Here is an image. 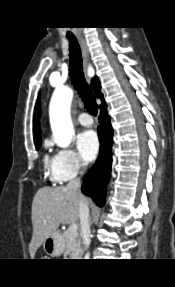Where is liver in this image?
I'll return each instance as SVG.
<instances>
[{
    "label": "liver",
    "instance_id": "liver-1",
    "mask_svg": "<svg viewBox=\"0 0 175 287\" xmlns=\"http://www.w3.org/2000/svg\"><path fill=\"white\" fill-rule=\"evenodd\" d=\"M79 197L88 203L83 195L67 186L43 187L36 192L32 202L33 235L29 245L32 259L44 240L56 232L61 223L72 224L79 220Z\"/></svg>",
    "mask_w": 175,
    "mask_h": 287
}]
</instances>
